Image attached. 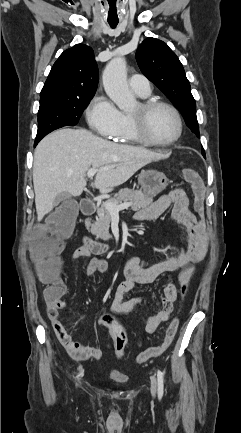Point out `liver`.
Segmentation results:
<instances>
[{"label": "liver", "instance_id": "liver-1", "mask_svg": "<svg viewBox=\"0 0 241 433\" xmlns=\"http://www.w3.org/2000/svg\"><path fill=\"white\" fill-rule=\"evenodd\" d=\"M163 157L144 148L109 142L86 129L54 131L40 141L34 152L37 220L40 222L53 210L59 193L80 196L90 168L98 170L92 186L101 193H109L139 169Z\"/></svg>", "mask_w": 241, "mask_h": 433}]
</instances>
